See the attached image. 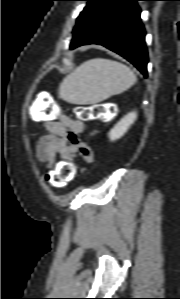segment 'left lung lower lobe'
<instances>
[{"label":"left lung lower lobe","instance_id":"1","mask_svg":"<svg viewBox=\"0 0 180 299\" xmlns=\"http://www.w3.org/2000/svg\"><path fill=\"white\" fill-rule=\"evenodd\" d=\"M137 1L96 0L73 33L70 49L99 44L130 61L147 77L145 29Z\"/></svg>","mask_w":180,"mask_h":299}]
</instances>
